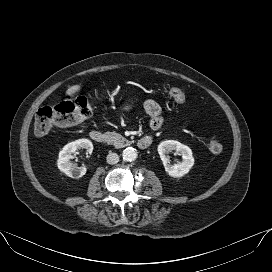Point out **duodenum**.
Returning a JSON list of instances; mask_svg holds the SVG:
<instances>
[{"label": "duodenum", "mask_w": 272, "mask_h": 272, "mask_svg": "<svg viewBox=\"0 0 272 272\" xmlns=\"http://www.w3.org/2000/svg\"><path fill=\"white\" fill-rule=\"evenodd\" d=\"M90 137L93 141L99 144H106L108 142V138L106 134L99 129H93L90 132ZM153 139L151 136H145L138 140L137 145L140 149H147L151 146Z\"/></svg>", "instance_id": "obj_1"}]
</instances>
